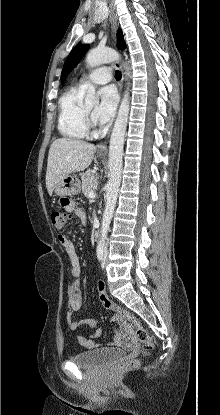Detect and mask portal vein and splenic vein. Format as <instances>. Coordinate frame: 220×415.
Returning <instances> with one entry per match:
<instances>
[{
    "label": "portal vein and splenic vein",
    "instance_id": "portal-vein-and-splenic-vein-1",
    "mask_svg": "<svg viewBox=\"0 0 220 415\" xmlns=\"http://www.w3.org/2000/svg\"><path fill=\"white\" fill-rule=\"evenodd\" d=\"M95 196H96L95 191H94V190H91V191L89 192V197L93 198V197H95Z\"/></svg>",
    "mask_w": 220,
    "mask_h": 415
}]
</instances>
